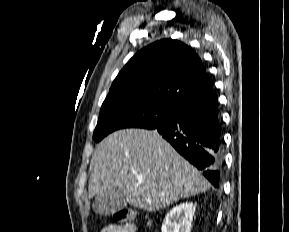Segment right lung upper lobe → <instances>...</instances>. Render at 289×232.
<instances>
[{
    "instance_id": "1",
    "label": "right lung upper lobe",
    "mask_w": 289,
    "mask_h": 232,
    "mask_svg": "<svg viewBox=\"0 0 289 232\" xmlns=\"http://www.w3.org/2000/svg\"><path fill=\"white\" fill-rule=\"evenodd\" d=\"M131 96L176 108L217 98L199 56L172 39L156 41L137 52L113 81L106 99Z\"/></svg>"
}]
</instances>
